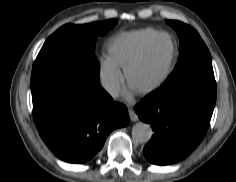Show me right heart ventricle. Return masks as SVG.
Wrapping results in <instances>:
<instances>
[{"label":"right heart ventricle","instance_id":"1","mask_svg":"<svg viewBox=\"0 0 236 182\" xmlns=\"http://www.w3.org/2000/svg\"><path fill=\"white\" fill-rule=\"evenodd\" d=\"M157 35L153 28H144L119 34L110 44L107 59L125 69Z\"/></svg>","mask_w":236,"mask_h":182}]
</instances>
